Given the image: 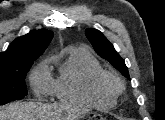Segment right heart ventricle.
<instances>
[{
	"mask_svg": "<svg viewBox=\"0 0 165 120\" xmlns=\"http://www.w3.org/2000/svg\"><path fill=\"white\" fill-rule=\"evenodd\" d=\"M57 62L59 71L52 80L51 93L59 101L102 109L115 104L116 96L99 93L93 87L94 77L103 69L90 52L72 48Z\"/></svg>",
	"mask_w": 165,
	"mask_h": 120,
	"instance_id": "right-heart-ventricle-1",
	"label": "right heart ventricle"
}]
</instances>
